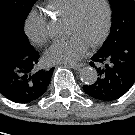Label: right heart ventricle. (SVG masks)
Instances as JSON below:
<instances>
[{
	"label": "right heart ventricle",
	"instance_id": "right-heart-ventricle-1",
	"mask_svg": "<svg viewBox=\"0 0 135 135\" xmlns=\"http://www.w3.org/2000/svg\"><path fill=\"white\" fill-rule=\"evenodd\" d=\"M79 0H49L46 8L57 16L68 18Z\"/></svg>",
	"mask_w": 135,
	"mask_h": 135
}]
</instances>
